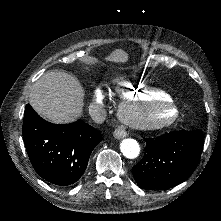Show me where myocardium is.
<instances>
[{"instance_id": "myocardium-1", "label": "myocardium", "mask_w": 221, "mask_h": 221, "mask_svg": "<svg viewBox=\"0 0 221 221\" xmlns=\"http://www.w3.org/2000/svg\"><path fill=\"white\" fill-rule=\"evenodd\" d=\"M179 103V102H178ZM176 104H164L161 98L157 101L143 100L142 103L133 100H127L123 104L115 103L114 108L122 107L119 110V116L123 119L124 125L127 128H138L142 130L163 129L173 125L180 116V108ZM154 105H167L164 112L158 113L154 111ZM150 111L152 117H150Z\"/></svg>"}]
</instances>
